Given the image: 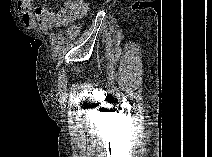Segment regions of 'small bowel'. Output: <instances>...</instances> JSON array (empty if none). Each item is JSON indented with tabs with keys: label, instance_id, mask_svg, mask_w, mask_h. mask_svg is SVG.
I'll return each mask as SVG.
<instances>
[{
	"label": "small bowel",
	"instance_id": "small-bowel-1",
	"mask_svg": "<svg viewBox=\"0 0 212 157\" xmlns=\"http://www.w3.org/2000/svg\"><path fill=\"white\" fill-rule=\"evenodd\" d=\"M18 9L23 23L28 26L37 22L41 29L50 31L56 27L69 25L87 12V5L82 0H66L63 8L54 11L47 5L33 7L30 1L22 0Z\"/></svg>",
	"mask_w": 212,
	"mask_h": 157
}]
</instances>
